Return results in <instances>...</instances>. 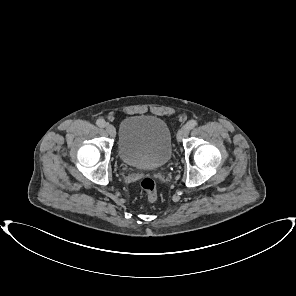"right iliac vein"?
<instances>
[{"label":"right iliac vein","mask_w":296,"mask_h":296,"mask_svg":"<svg viewBox=\"0 0 296 296\" xmlns=\"http://www.w3.org/2000/svg\"><path fill=\"white\" fill-rule=\"evenodd\" d=\"M107 133L111 136L114 137L116 134L115 127L111 124H106L105 126Z\"/></svg>","instance_id":"obj_1"}]
</instances>
